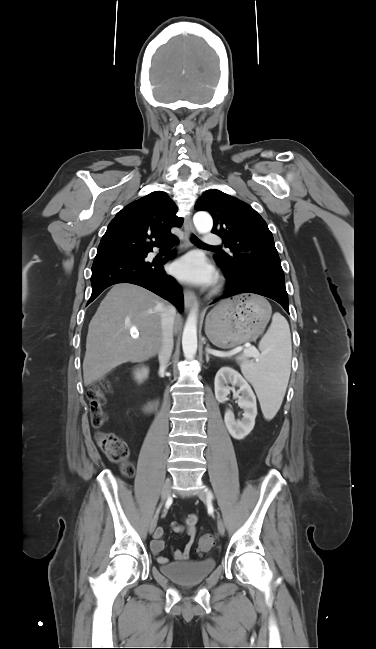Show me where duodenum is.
<instances>
[{
    "label": "duodenum",
    "instance_id": "obj_1",
    "mask_svg": "<svg viewBox=\"0 0 376 649\" xmlns=\"http://www.w3.org/2000/svg\"><path fill=\"white\" fill-rule=\"evenodd\" d=\"M154 407H155V404H154V403H151V402L148 403V404L145 406L146 411H148V412L153 411V410H154Z\"/></svg>",
    "mask_w": 376,
    "mask_h": 649
}]
</instances>
